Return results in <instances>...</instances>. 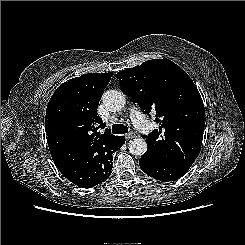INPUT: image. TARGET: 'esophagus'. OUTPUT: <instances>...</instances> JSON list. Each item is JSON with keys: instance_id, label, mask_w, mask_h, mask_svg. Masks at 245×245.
<instances>
[{"instance_id": "obj_1", "label": "esophagus", "mask_w": 245, "mask_h": 245, "mask_svg": "<svg viewBox=\"0 0 245 245\" xmlns=\"http://www.w3.org/2000/svg\"><path fill=\"white\" fill-rule=\"evenodd\" d=\"M135 136H136L135 133L132 132V131H130V132H128L127 134H125V138H126L127 140L133 139Z\"/></svg>"}]
</instances>
